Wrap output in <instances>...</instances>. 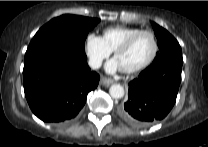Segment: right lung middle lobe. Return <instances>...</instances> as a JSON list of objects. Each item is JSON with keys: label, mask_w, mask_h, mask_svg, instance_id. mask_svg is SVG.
Wrapping results in <instances>:
<instances>
[{"label": "right lung middle lobe", "mask_w": 208, "mask_h": 147, "mask_svg": "<svg viewBox=\"0 0 208 147\" xmlns=\"http://www.w3.org/2000/svg\"><path fill=\"white\" fill-rule=\"evenodd\" d=\"M97 18L65 14L53 18L35 34L29 46L64 38L84 48L88 32L98 23Z\"/></svg>", "instance_id": "dd1d6c3e"}]
</instances>
